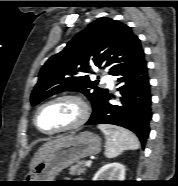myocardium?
Returning <instances> with one entry per match:
<instances>
[{"mask_svg": "<svg viewBox=\"0 0 178 186\" xmlns=\"http://www.w3.org/2000/svg\"><path fill=\"white\" fill-rule=\"evenodd\" d=\"M60 100H71L74 101L80 108V114L78 116V118L71 124L54 130V131H44L40 128L37 118H38V114L40 112V110L45 107L46 105H49L53 102H57ZM90 116V108L89 105L87 104V102L79 95L77 94H73V93H66V94H61V95H57L53 98H50L49 100L43 102L42 104H40L35 113H34V117H33V122L35 127L43 134L46 135H56V134H60V133H64V132H68V131H72L75 129H78L79 127H81L83 124L86 123V121L88 120Z\"/></svg>", "mask_w": 178, "mask_h": 186, "instance_id": "f54148a6", "label": "myocardium"}]
</instances>
